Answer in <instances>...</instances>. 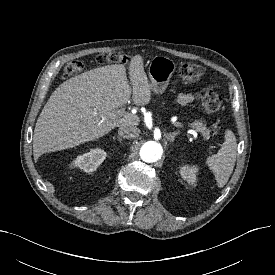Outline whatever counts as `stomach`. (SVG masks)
Returning a JSON list of instances; mask_svg holds the SVG:
<instances>
[{
    "label": "stomach",
    "instance_id": "0dacf381",
    "mask_svg": "<svg viewBox=\"0 0 275 275\" xmlns=\"http://www.w3.org/2000/svg\"><path fill=\"white\" fill-rule=\"evenodd\" d=\"M176 65L168 57L155 56L149 63L148 74L152 91L163 93L167 88Z\"/></svg>",
    "mask_w": 275,
    "mask_h": 275
}]
</instances>
